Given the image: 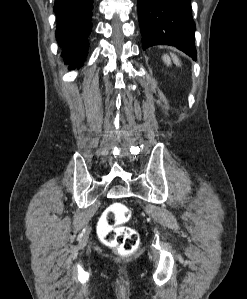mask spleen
<instances>
[{"mask_svg": "<svg viewBox=\"0 0 247 299\" xmlns=\"http://www.w3.org/2000/svg\"><path fill=\"white\" fill-rule=\"evenodd\" d=\"M171 59L173 60V62L178 65V66H181V63H180V60L179 58L174 55V54H171V58L168 56V55H164L163 56V61L167 64V65H171Z\"/></svg>", "mask_w": 247, "mask_h": 299, "instance_id": "3e777b00", "label": "spleen"}]
</instances>
